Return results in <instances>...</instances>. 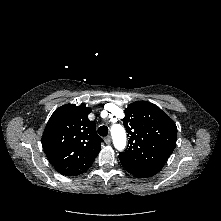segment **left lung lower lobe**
Masks as SVG:
<instances>
[{"instance_id": "1", "label": "left lung lower lobe", "mask_w": 221, "mask_h": 221, "mask_svg": "<svg viewBox=\"0 0 221 221\" xmlns=\"http://www.w3.org/2000/svg\"><path fill=\"white\" fill-rule=\"evenodd\" d=\"M129 173L133 174L138 178L150 177L158 173L162 168L161 167H144V168H135L127 165H122Z\"/></svg>"}]
</instances>
